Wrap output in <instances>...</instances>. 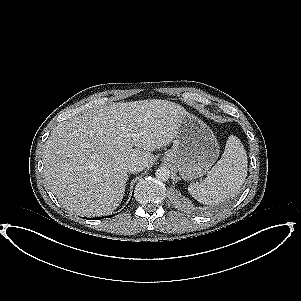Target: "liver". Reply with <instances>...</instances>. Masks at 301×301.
Listing matches in <instances>:
<instances>
[{"mask_svg":"<svg viewBox=\"0 0 301 301\" xmlns=\"http://www.w3.org/2000/svg\"><path fill=\"white\" fill-rule=\"evenodd\" d=\"M186 114L173 102L135 101L78 116L46 141L45 180L69 210L84 216L112 213L125 194L126 165L151 167V152L173 141Z\"/></svg>","mask_w":301,"mask_h":301,"instance_id":"1","label":"liver"}]
</instances>
